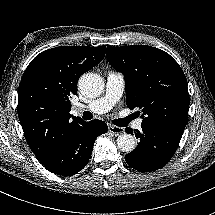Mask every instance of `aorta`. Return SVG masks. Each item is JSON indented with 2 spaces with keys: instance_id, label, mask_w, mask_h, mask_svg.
Instances as JSON below:
<instances>
[{
  "instance_id": "1",
  "label": "aorta",
  "mask_w": 215,
  "mask_h": 215,
  "mask_svg": "<svg viewBox=\"0 0 215 215\" xmlns=\"http://www.w3.org/2000/svg\"><path fill=\"white\" fill-rule=\"evenodd\" d=\"M79 88L85 96H98L103 89V82L98 75L85 73L79 79ZM117 148L124 152L130 153L136 147V142L131 134H122L116 139Z\"/></svg>"
}]
</instances>
